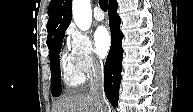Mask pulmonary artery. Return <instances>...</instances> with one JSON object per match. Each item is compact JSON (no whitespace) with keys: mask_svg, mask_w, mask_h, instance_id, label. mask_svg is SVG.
Masks as SVG:
<instances>
[{"mask_svg":"<svg viewBox=\"0 0 193 112\" xmlns=\"http://www.w3.org/2000/svg\"><path fill=\"white\" fill-rule=\"evenodd\" d=\"M104 17H105V15H104L103 11L99 7H96L94 9V18L97 21H102L104 19Z\"/></svg>","mask_w":193,"mask_h":112,"instance_id":"obj_1","label":"pulmonary artery"}]
</instances>
